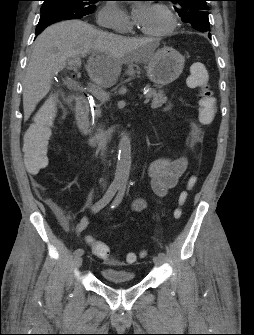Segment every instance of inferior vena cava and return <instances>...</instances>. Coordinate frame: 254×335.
Instances as JSON below:
<instances>
[{"label":"inferior vena cava","instance_id":"obj_1","mask_svg":"<svg viewBox=\"0 0 254 335\" xmlns=\"http://www.w3.org/2000/svg\"><path fill=\"white\" fill-rule=\"evenodd\" d=\"M97 138H98V148L101 151V156H104L107 150L106 146L107 142H106V135L102 127L97 129Z\"/></svg>","mask_w":254,"mask_h":335}]
</instances>
